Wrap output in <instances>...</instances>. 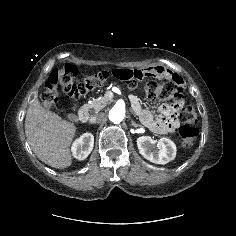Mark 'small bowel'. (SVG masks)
Returning <instances> with one entry per match:
<instances>
[{
    "label": "small bowel",
    "instance_id": "obj_1",
    "mask_svg": "<svg viewBox=\"0 0 236 236\" xmlns=\"http://www.w3.org/2000/svg\"><path fill=\"white\" fill-rule=\"evenodd\" d=\"M149 76L170 78L175 83L182 84V79L178 75L172 74V72L162 66H151L143 70L135 68H114L112 70V77L130 88L136 87L139 81H143L145 77ZM131 103L143 124L151 130L162 134L173 133L175 131L177 121L173 116L175 112L174 108L164 105L161 108L162 115L154 118L148 110L140 107L136 98H132Z\"/></svg>",
    "mask_w": 236,
    "mask_h": 236
}]
</instances>
